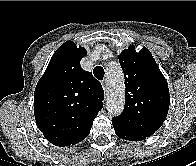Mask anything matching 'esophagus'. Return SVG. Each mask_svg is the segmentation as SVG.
<instances>
[{"label":"esophagus","instance_id":"obj_1","mask_svg":"<svg viewBox=\"0 0 196 166\" xmlns=\"http://www.w3.org/2000/svg\"><path fill=\"white\" fill-rule=\"evenodd\" d=\"M101 84H102L103 89L106 90L107 81L106 80H103Z\"/></svg>","mask_w":196,"mask_h":166}]
</instances>
